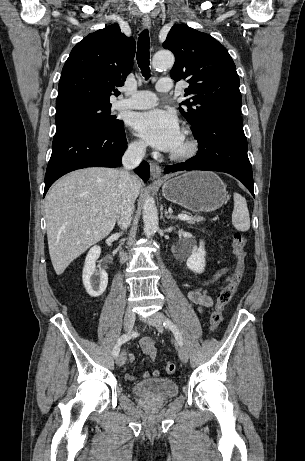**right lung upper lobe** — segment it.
Here are the masks:
<instances>
[{
    "instance_id": "obj_1",
    "label": "right lung upper lobe",
    "mask_w": 305,
    "mask_h": 461,
    "mask_svg": "<svg viewBox=\"0 0 305 461\" xmlns=\"http://www.w3.org/2000/svg\"><path fill=\"white\" fill-rule=\"evenodd\" d=\"M135 40L117 24L87 35L71 51L58 86L56 108L82 102L109 103L132 70Z\"/></svg>"
}]
</instances>
